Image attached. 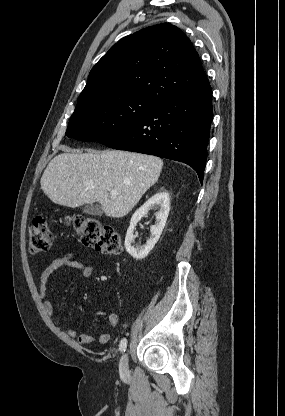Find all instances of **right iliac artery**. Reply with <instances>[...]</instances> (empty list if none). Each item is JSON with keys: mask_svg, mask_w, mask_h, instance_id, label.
I'll list each match as a JSON object with an SVG mask.
<instances>
[{"mask_svg": "<svg viewBox=\"0 0 285 416\" xmlns=\"http://www.w3.org/2000/svg\"><path fill=\"white\" fill-rule=\"evenodd\" d=\"M119 347H120V350L122 352H124L126 350V347H127V340H126V338H123L121 340Z\"/></svg>", "mask_w": 285, "mask_h": 416, "instance_id": "obj_1", "label": "right iliac artery"}]
</instances>
